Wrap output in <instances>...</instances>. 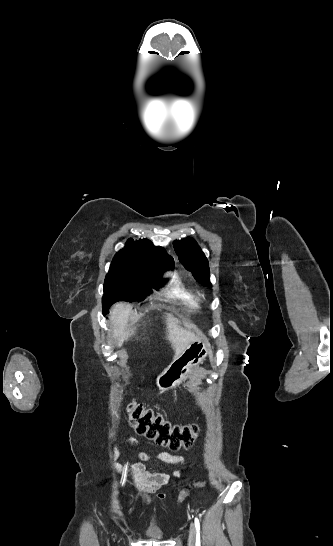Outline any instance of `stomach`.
Here are the masks:
<instances>
[{"mask_svg":"<svg viewBox=\"0 0 333 546\" xmlns=\"http://www.w3.org/2000/svg\"><path fill=\"white\" fill-rule=\"evenodd\" d=\"M210 352L209 343L197 339L169 364L157 377V386L169 390L179 385L188 374L197 368Z\"/></svg>","mask_w":333,"mask_h":546,"instance_id":"1","label":"stomach"}]
</instances>
